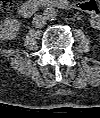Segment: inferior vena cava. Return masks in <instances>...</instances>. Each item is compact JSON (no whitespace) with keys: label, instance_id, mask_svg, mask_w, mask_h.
<instances>
[{"label":"inferior vena cava","instance_id":"obj_1","mask_svg":"<svg viewBox=\"0 0 100 118\" xmlns=\"http://www.w3.org/2000/svg\"><path fill=\"white\" fill-rule=\"evenodd\" d=\"M32 24L36 28H41L46 24V18L43 15H35L32 20Z\"/></svg>","mask_w":100,"mask_h":118}]
</instances>
